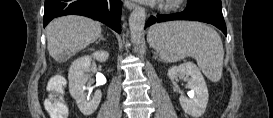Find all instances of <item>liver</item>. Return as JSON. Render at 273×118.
<instances>
[{
    "mask_svg": "<svg viewBox=\"0 0 273 118\" xmlns=\"http://www.w3.org/2000/svg\"><path fill=\"white\" fill-rule=\"evenodd\" d=\"M101 24L82 16H64L47 28V48L56 61H63L86 48L101 36Z\"/></svg>",
    "mask_w": 273,
    "mask_h": 118,
    "instance_id": "1",
    "label": "liver"
}]
</instances>
